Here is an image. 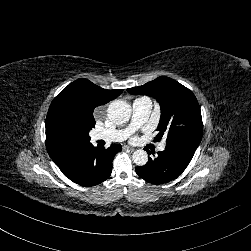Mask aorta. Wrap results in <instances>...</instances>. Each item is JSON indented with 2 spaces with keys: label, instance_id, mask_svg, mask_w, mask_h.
I'll return each mask as SVG.
<instances>
[{
  "label": "aorta",
  "instance_id": "1",
  "mask_svg": "<svg viewBox=\"0 0 251 251\" xmlns=\"http://www.w3.org/2000/svg\"><path fill=\"white\" fill-rule=\"evenodd\" d=\"M131 108L128 103L114 100L107 109V118L116 125H124L130 118ZM135 165L145 166L148 162V154L144 150H136L132 155Z\"/></svg>",
  "mask_w": 251,
  "mask_h": 251
}]
</instances>
